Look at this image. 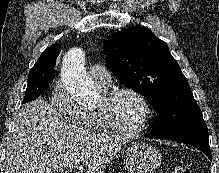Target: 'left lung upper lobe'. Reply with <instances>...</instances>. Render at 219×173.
<instances>
[{"instance_id": "obj_1", "label": "left lung upper lobe", "mask_w": 219, "mask_h": 173, "mask_svg": "<svg viewBox=\"0 0 219 173\" xmlns=\"http://www.w3.org/2000/svg\"><path fill=\"white\" fill-rule=\"evenodd\" d=\"M103 50L110 71L125 86L143 94L160 113L149 135L208 136L188 81L164 41L146 28L133 27L111 35Z\"/></svg>"}]
</instances>
